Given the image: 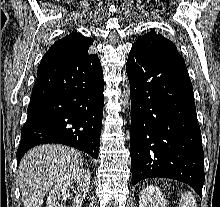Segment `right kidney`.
Returning a JSON list of instances; mask_svg holds the SVG:
<instances>
[{"label": "right kidney", "instance_id": "obj_1", "mask_svg": "<svg viewBox=\"0 0 220 207\" xmlns=\"http://www.w3.org/2000/svg\"><path fill=\"white\" fill-rule=\"evenodd\" d=\"M90 177L89 170L78 168L58 180L49 192L46 207H64L63 201L69 197V188H73L74 185L77 189L74 190L72 207H81L89 189Z\"/></svg>", "mask_w": 220, "mask_h": 207}]
</instances>
